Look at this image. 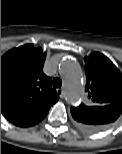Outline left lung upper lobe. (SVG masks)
I'll use <instances>...</instances> for the list:
<instances>
[{"mask_svg": "<svg viewBox=\"0 0 122 154\" xmlns=\"http://www.w3.org/2000/svg\"><path fill=\"white\" fill-rule=\"evenodd\" d=\"M86 86L88 102L71 107V114L77 122L81 108L86 106H122V74L103 54L95 52L85 57Z\"/></svg>", "mask_w": 122, "mask_h": 154, "instance_id": "obj_1", "label": "left lung upper lobe"}]
</instances>
